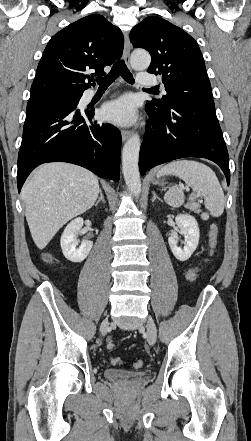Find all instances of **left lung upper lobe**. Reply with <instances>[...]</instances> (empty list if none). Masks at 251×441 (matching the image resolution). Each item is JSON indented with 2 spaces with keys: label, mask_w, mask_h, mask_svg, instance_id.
Segmentation results:
<instances>
[{
  "label": "left lung upper lobe",
  "mask_w": 251,
  "mask_h": 441,
  "mask_svg": "<svg viewBox=\"0 0 251 441\" xmlns=\"http://www.w3.org/2000/svg\"><path fill=\"white\" fill-rule=\"evenodd\" d=\"M134 47L151 54L149 73L162 76L167 92L161 99L147 101L159 109L192 100L213 99L204 59L197 42L181 28L156 16L145 18L130 32Z\"/></svg>",
  "instance_id": "1"
}]
</instances>
